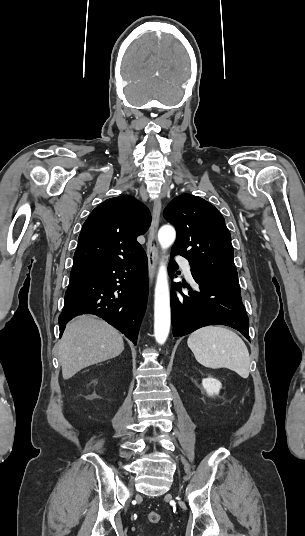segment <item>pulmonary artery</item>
<instances>
[{"instance_id":"e3ab8cb5","label":"pulmonary artery","mask_w":305,"mask_h":536,"mask_svg":"<svg viewBox=\"0 0 305 536\" xmlns=\"http://www.w3.org/2000/svg\"><path fill=\"white\" fill-rule=\"evenodd\" d=\"M174 260H175L176 262H181L180 265H181V268H182V270H183V272H184L186 278H187L190 282L194 283V279H193V276H192V271H191V267H190V263H189V261L184 260V257H183L182 255H176V256L174 257ZM183 260H184V261H183Z\"/></svg>"}]
</instances>
